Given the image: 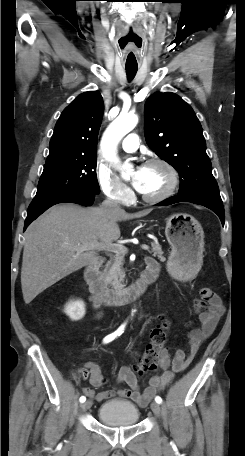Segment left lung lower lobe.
<instances>
[{"instance_id":"0a47b994","label":"left lung lower lobe","mask_w":245,"mask_h":456,"mask_svg":"<svg viewBox=\"0 0 245 456\" xmlns=\"http://www.w3.org/2000/svg\"><path fill=\"white\" fill-rule=\"evenodd\" d=\"M178 202H192L195 204L203 205V206L211 209L219 216V218L222 222V225L224 226V218H225L224 207L220 204L206 202V201H193V200H188V199H184V198L175 196V197H171L169 199H166V200L158 203L157 206H167V205H171V204L178 203Z\"/></svg>"}]
</instances>
